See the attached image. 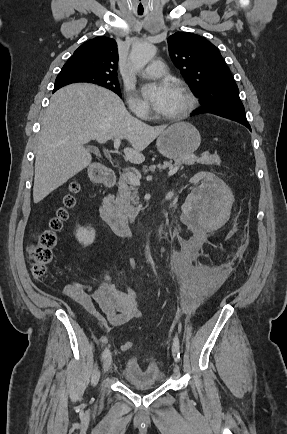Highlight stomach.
I'll return each mask as SVG.
<instances>
[{
	"instance_id": "obj_1",
	"label": "stomach",
	"mask_w": 287,
	"mask_h": 434,
	"mask_svg": "<svg viewBox=\"0 0 287 434\" xmlns=\"http://www.w3.org/2000/svg\"><path fill=\"white\" fill-rule=\"evenodd\" d=\"M200 143V133L193 125L178 122L159 135L156 145L164 157L177 159L192 154L198 149Z\"/></svg>"
}]
</instances>
